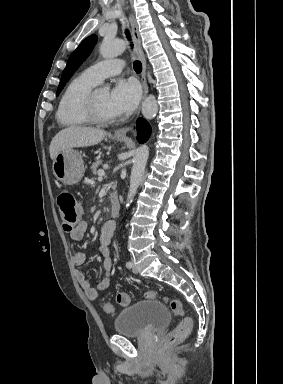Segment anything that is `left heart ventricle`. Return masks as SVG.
Listing matches in <instances>:
<instances>
[{
  "label": "left heart ventricle",
  "instance_id": "left-heart-ventricle-1",
  "mask_svg": "<svg viewBox=\"0 0 283 384\" xmlns=\"http://www.w3.org/2000/svg\"><path fill=\"white\" fill-rule=\"evenodd\" d=\"M108 91L97 88L95 90V101L99 114L107 119L116 118V116L110 111L108 104Z\"/></svg>",
  "mask_w": 283,
  "mask_h": 384
}]
</instances>
